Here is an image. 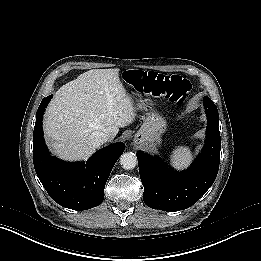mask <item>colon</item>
I'll return each mask as SVG.
<instances>
[{
	"instance_id": "5ec220e1",
	"label": "colon",
	"mask_w": 261,
	"mask_h": 261,
	"mask_svg": "<svg viewBox=\"0 0 261 261\" xmlns=\"http://www.w3.org/2000/svg\"><path fill=\"white\" fill-rule=\"evenodd\" d=\"M132 81L144 93L164 97L182 105L190 95V85L180 76H164L153 71L133 70Z\"/></svg>"
}]
</instances>
